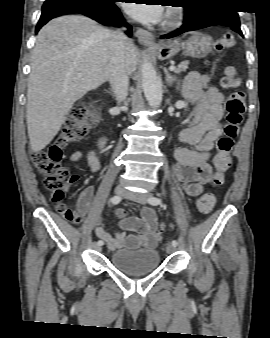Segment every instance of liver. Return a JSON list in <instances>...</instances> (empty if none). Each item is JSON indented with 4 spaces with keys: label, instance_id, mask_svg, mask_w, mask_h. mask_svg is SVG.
<instances>
[{
    "label": "liver",
    "instance_id": "1",
    "mask_svg": "<svg viewBox=\"0 0 270 338\" xmlns=\"http://www.w3.org/2000/svg\"><path fill=\"white\" fill-rule=\"evenodd\" d=\"M112 32L88 17L68 15L47 23L37 35L27 89V129L32 151L57 135L74 103L109 79ZM125 66L137 67V48L128 39ZM78 74H82L81 77Z\"/></svg>",
    "mask_w": 270,
    "mask_h": 338
}]
</instances>
